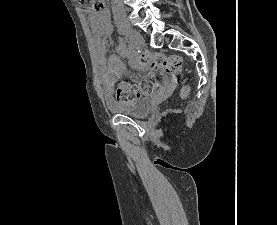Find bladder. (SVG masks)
<instances>
[{
    "label": "bladder",
    "mask_w": 277,
    "mask_h": 225,
    "mask_svg": "<svg viewBox=\"0 0 277 225\" xmlns=\"http://www.w3.org/2000/svg\"><path fill=\"white\" fill-rule=\"evenodd\" d=\"M108 107L117 114L140 117L150 113L153 108V101L151 95H146L134 103H115L109 104Z\"/></svg>",
    "instance_id": "1"
}]
</instances>
